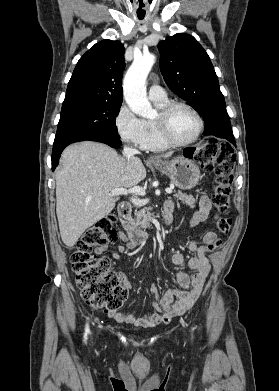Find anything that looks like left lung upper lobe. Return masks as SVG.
Here are the masks:
<instances>
[{
  "mask_svg": "<svg viewBox=\"0 0 279 391\" xmlns=\"http://www.w3.org/2000/svg\"><path fill=\"white\" fill-rule=\"evenodd\" d=\"M160 70L168 87L204 119V135L233 136L229 115L210 58L188 34L169 36L158 44Z\"/></svg>",
  "mask_w": 279,
  "mask_h": 391,
  "instance_id": "left-lung-upper-lobe-1",
  "label": "left lung upper lobe"
}]
</instances>
